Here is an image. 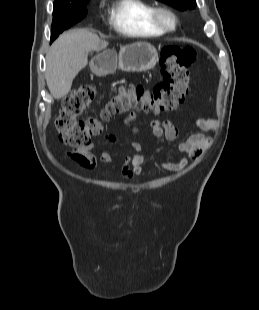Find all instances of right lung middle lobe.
Masks as SVG:
<instances>
[{
	"label": "right lung middle lobe",
	"instance_id": "dd1d6c3e",
	"mask_svg": "<svg viewBox=\"0 0 259 310\" xmlns=\"http://www.w3.org/2000/svg\"><path fill=\"white\" fill-rule=\"evenodd\" d=\"M88 2L89 0H86L79 5L53 9L51 42L55 40L63 30L68 29L86 16V6Z\"/></svg>",
	"mask_w": 259,
	"mask_h": 310
}]
</instances>
